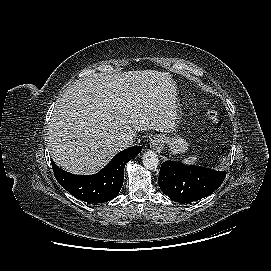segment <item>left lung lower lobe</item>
<instances>
[{
  "instance_id": "obj_1",
  "label": "left lung lower lobe",
  "mask_w": 271,
  "mask_h": 271,
  "mask_svg": "<svg viewBox=\"0 0 271 271\" xmlns=\"http://www.w3.org/2000/svg\"><path fill=\"white\" fill-rule=\"evenodd\" d=\"M225 176L223 171L166 161L161 166L158 183L162 192L173 201L191 203L213 193Z\"/></svg>"
}]
</instances>
